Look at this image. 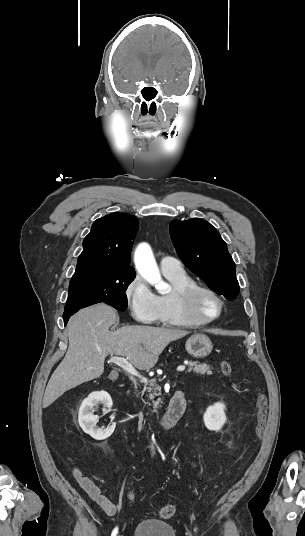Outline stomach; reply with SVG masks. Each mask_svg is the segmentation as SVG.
Listing matches in <instances>:
<instances>
[{
	"label": "stomach",
	"instance_id": "stomach-1",
	"mask_svg": "<svg viewBox=\"0 0 305 536\" xmlns=\"http://www.w3.org/2000/svg\"><path fill=\"white\" fill-rule=\"evenodd\" d=\"M185 348L193 358H205L212 350V342L204 334H195L187 340Z\"/></svg>",
	"mask_w": 305,
	"mask_h": 536
}]
</instances>
